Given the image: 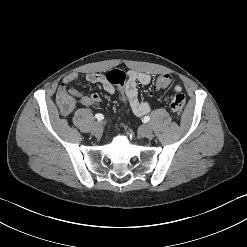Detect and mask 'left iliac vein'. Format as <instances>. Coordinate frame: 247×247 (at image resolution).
Here are the masks:
<instances>
[{"label": "left iliac vein", "mask_w": 247, "mask_h": 247, "mask_svg": "<svg viewBox=\"0 0 247 247\" xmlns=\"http://www.w3.org/2000/svg\"><path fill=\"white\" fill-rule=\"evenodd\" d=\"M140 134H141L143 137L149 138V137H151L152 134H153L152 128H151L149 125H143V126L140 128Z\"/></svg>", "instance_id": "obj_1"}]
</instances>
